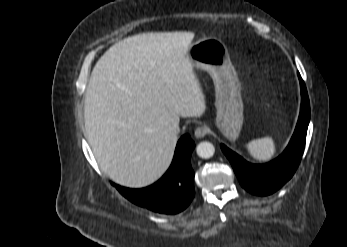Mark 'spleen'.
I'll return each mask as SVG.
<instances>
[{
  "instance_id": "3e777b00",
  "label": "spleen",
  "mask_w": 347,
  "mask_h": 247,
  "mask_svg": "<svg viewBox=\"0 0 347 247\" xmlns=\"http://www.w3.org/2000/svg\"><path fill=\"white\" fill-rule=\"evenodd\" d=\"M249 154L257 161L271 160L277 152L276 141L272 137H264L253 140L247 145Z\"/></svg>"
}]
</instances>
